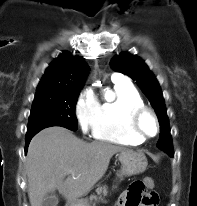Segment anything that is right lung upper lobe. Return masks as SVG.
Here are the masks:
<instances>
[{"instance_id": "obj_1", "label": "right lung upper lobe", "mask_w": 197, "mask_h": 206, "mask_svg": "<svg viewBox=\"0 0 197 206\" xmlns=\"http://www.w3.org/2000/svg\"><path fill=\"white\" fill-rule=\"evenodd\" d=\"M88 66L83 58L63 52L46 69L37 91L81 90Z\"/></svg>"}]
</instances>
